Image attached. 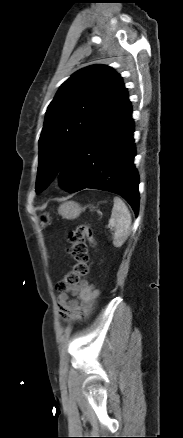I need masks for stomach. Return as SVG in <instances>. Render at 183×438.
<instances>
[{
    "label": "stomach",
    "instance_id": "0dacf381",
    "mask_svg": "<svg viewBox=\"0 0 183 438\" xmlns=\"http://www.w3.org/2000/svg\"><path fill=\"white\" fill-rule=\"evenodd\" d=\"M83 208L74 201H68L59 207V214L66 219H75L82 212ZM50 222L48 214L40 216V223L42 226H47Z\"/></svg>",
    "mask_w": 183,
    "mask_h": 438
}]
</instances>
